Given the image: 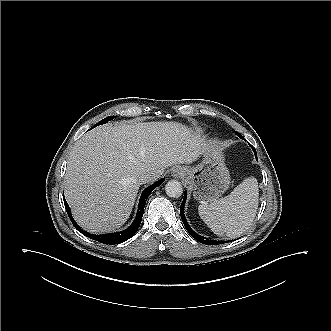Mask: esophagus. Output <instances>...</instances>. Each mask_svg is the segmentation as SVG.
Masks as SVG:
<instances>
[{
  "label": "esophagus",
  "instance_id": "1",
  "mask_svg": "<svg viewBox=\"0 0 331 331\" xmlns=\"http://www.w3.org/2000/svg\"><path fill=\"white\" fill-rule=\"evenodd\" d=\"M172 176L174 178H180L183 176V171L180 169V168H175L173 171H172Z\"/></svg>",
  "mask_w": 331,
  "mask_h": 331
}]
</instances>
